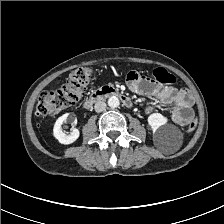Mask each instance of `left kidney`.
<instances>
[{"label":"left kidney","mask_w":224,"mask_h":224,"mask_svg":"<svg viewBox=\"0 0 224 224\" xmlns=\"http://www.w3.org/2000/svg\"><path fill=\"white\" fill-rule=\"evenodd\" d=\"M168 119L160 113H153L148 117V124L152 127L153 132L166 124Z\"/></svg>","instance_id":"1"}]
</instances>
